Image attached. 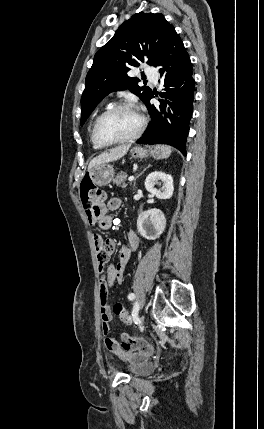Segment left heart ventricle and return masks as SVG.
Returning a JSON list of instances; mask_svg holds the SVG:
<instances>
[{
    "instance_id": "obj_1",
    "label": "left heart ventricle",
    "mask_w": 264,
    "mask_h": 429,
    "mask_svg": "<svg viewBox=\"0 0 264 429\" xmlns=\"http://www.w3.org/2000/svg\"><path fill=\"white\" fill-rule=\"evenodd\" d=\"M139 125V118L131 109H120L107 115L99 126V136L104 141H115L132 135Z\"/></svg>"
}]
</instances>
